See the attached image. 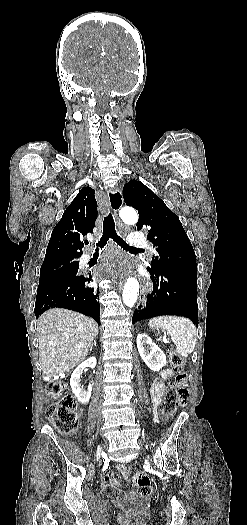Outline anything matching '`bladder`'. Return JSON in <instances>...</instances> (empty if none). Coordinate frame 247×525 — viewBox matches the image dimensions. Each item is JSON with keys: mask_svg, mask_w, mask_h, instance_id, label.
<instances>
[{"mask_svg": "<svg viewBox=\"0 0 247 525\" xmlns=\"http://www.w3.org/2000/svg\"><path fill=\"white\" fill-rule=\"evenodd\" d=\"M113 505L117 508H119L122 512L128 513L132 511L133 509H140L145 507L146 503L142 502V500L137 499L136 501L131 499H125L120 498L117 499Z\"/></svg>", "mask_w": 247, "mask_h": 525, "instance_id": "obj_1", "label": "bladder"}]
</instances>
